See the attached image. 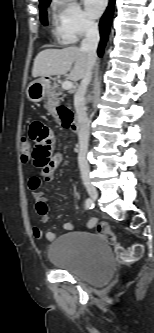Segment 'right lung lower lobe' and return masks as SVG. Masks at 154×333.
<instances>
[{"label": "right lung lower lobe", "mask_w": 154, "mask_h": 333, "mask_svg": "<svg viewBox=\"0 0 154 333\" xmlns=\"http://www.w3.org/2000/svg\"><path fill=\"white\" fill-rule=\"evenodd\" d=\"M114 4L115 0H110L109 6L104 13L102 19L100 20V36H101V41L98 47V55L101 57L104 51V47L108 38V33L110 29V24L112 20V15L114 11Z\"/></svg>", "instance_id": "obj_1"}]
</instances>
